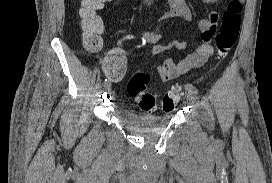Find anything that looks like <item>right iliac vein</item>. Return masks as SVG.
Listing matches in <instances>:
<instances>
[{"label":"right iliac vein","instance_id":"obj_1","mask_svg":"<svg viewBox=\"0 0 272 183\" xmlns=\"http://www.w3.org/2000/svg\"><path fill=\"white\" fill-rule=\"evenodd\" d=\"M104 90L106 92H108L109 94L111 93V83L110 82L104 86Z\"/></svg>","mask_w":272,"mask_h":183}]
</instances>
